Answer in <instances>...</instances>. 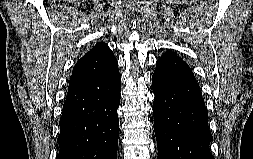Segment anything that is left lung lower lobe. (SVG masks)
Instances as JSON below:
<instances>
[{"mask_svg": "<svg viewBox=\"0 0 253 159\" xmlns=\"http://www.w3.org/2000/svg\"><path fill=\"white\" fill-rule=\"evenodd\" d=\"M152 86L159 159H214L208 113L190 67L168 51L156 62Z\"/></svg>", "mask_w": 253, "mask_h": 159, "instance_id": "left-lung-lower-lobe-1", "label": "left lung lower lobe"}]
</instances>
